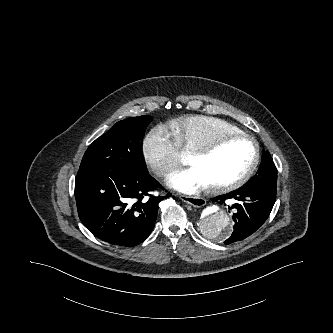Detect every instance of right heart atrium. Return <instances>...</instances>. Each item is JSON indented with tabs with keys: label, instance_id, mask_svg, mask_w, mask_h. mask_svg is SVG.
I'll return each instance as SVG.
<instances>
[{
	"label": "right heart atrium",
	"instance_id": "obj_1",
	"mask_svg": "<svg viewBox=\"0 0 333 333\" xmlns=\"http://www.w3.org/2000/svg\"><path fill=\"white\" fill-rule=\"evenodd\" d=\"M146 166L158 177H166L181 163V154L168 131L162 126L154 127L141 145Z\"/></svg>",
	"mask_w": 333,
	"mask_h": 333
}]
</instances>
